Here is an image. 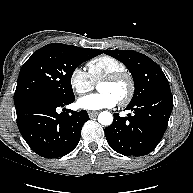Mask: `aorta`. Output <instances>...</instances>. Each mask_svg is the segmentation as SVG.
Listing matches in <instances>:
<instances>
[{
    "instance_id": "aorta-1",
    "label": "aorta",
    "mask_w": 193,
    "mask_h": 193,
    "mask_svg": "<svg viewBox=\"0 0 193 193\" xmlns=\"http://www.w3.org/2000/svg\"><path fill=\"white\" fill-rule=\"evenodd\" d=\"M98 122L102 125L109 126L113 122V115L108 111H103L98 115Z\"/></svg>"
}]
</instances>
